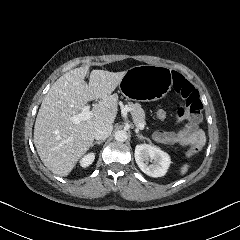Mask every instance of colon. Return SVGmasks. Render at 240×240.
Returning <instances> with one entry per match:
<instances>
[{
	"label": "colon",
	"mask_w": 240,
	"mask_h": 240,
	"mask_svg": "<svg viewBox=\"0 0 240 240\" xmlns=\"http://www.w3.org/2000/svg\"><path fill=\"white\" fill-rule=\"evenodd\" d=\"M174 82L177 90L180 91L183 101H188V118L191 119L195 124L199 123L202 119L201 113L203 109V103L200 99L198 91L192 84L187 82L186 78L182 77L180 74L175 75ZM157 118L160 120L167 119V112L159 110L157 112ZM198 148H202L201 133H198L197 138H194L193 141L190 142V151L186 152V157L190 158L191 153H194Z\"/></svg>",
	"instance_id": "1"
}]
</instances>
